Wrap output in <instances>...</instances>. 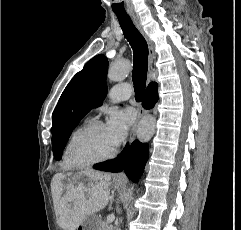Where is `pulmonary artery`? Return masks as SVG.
I'll return each instance as SVG.
<instances>
[{
  "instance_id": "1",
  "label": "pulmonary artery",
  "mask_w": 241,
  "mask_h": 230,
  "mask_svg": "<svg viewBox=\"0 0 241 230\" xmlns=\"http://www.w3.org/2000/svg\"><path fill=\"white\" fill-rule=\"evenodd\" d=\"M131 95V88L129 84H121L114 86L109 93V96L112 100H125L128 99Z\"/></svg>"
}]
</instances>
